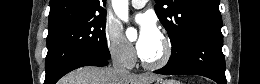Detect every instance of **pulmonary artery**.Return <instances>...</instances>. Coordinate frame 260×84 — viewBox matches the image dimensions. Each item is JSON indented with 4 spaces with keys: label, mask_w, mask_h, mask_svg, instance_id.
Listing matches in <instances>:
<instances>
[{
    "label": "pulmonary artery",
    "mask_w": 260,
    "mask_h": 84,
    "mask_svg": "<svg viewBox=\"0 0 260 84\" xmlns=\"http://www.w3.org/2000/svg\"><path fill=\"white\" fill-rule=\"evenodd\" d=\"M145 2H146V1H144V0H132V1H131V4H132L133 7H135V8H141V7L144 6Z\"/></svg>",
    "instance_id": "e3ab8cb5"
}]
</instances>
